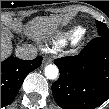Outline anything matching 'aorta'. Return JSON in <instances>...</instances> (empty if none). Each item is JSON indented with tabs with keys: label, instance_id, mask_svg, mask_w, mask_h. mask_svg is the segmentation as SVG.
Instances as JSON below:
<instances>
[{
	"label": "aorta",
	"instance_id": "obj_1",
	"mask_svg": "<svg viewBox=\"0 0 109 109\" xmlns=\"http://www.w3.org/2000/svg\"><path fill=\"white\" fill-rule=\"evenodd\" d=\"M58 68L57 66L53 65V64H50V65H47L45 67V76L48 78V79H56L57 76H58Z\"/></svg>",
	"mask_w": 109,
	"mask_h": 109
}]
</instances>
